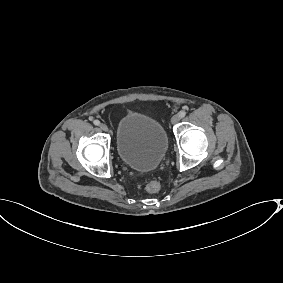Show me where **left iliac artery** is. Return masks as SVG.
I'll list each match as a JSON object with an SVG mask.
<instances>
[{"instance_id": "44dca946", "label": "left iliac artery", "mask_w": 283, "mask_h": 283, "mask_svg": "<svg viewBox=\"0 0 283 283\" xmlns=\"http://www.w3.org/2000/svg\"><path fill=\"white\" fill-rule=\"evenodd\" d=\"M185 115H186V112H185V111H180V112H179L180 118L185 117Z\"/></svg>"}]
</instances>
